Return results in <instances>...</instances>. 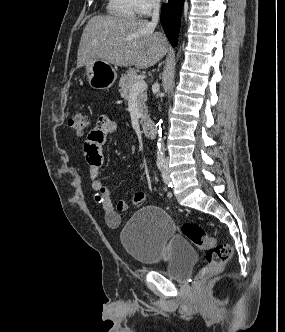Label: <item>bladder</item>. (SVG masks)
Listing matches in <instances>:
<instances>
[{
  "mask_svg": "<svg viewBox=\"0 0 285 332\" xmlns=\"http://www.w3.org/2000/svg\"><path fill=\"white\" fill-rule=\"evenodd\" d=\"M121 242L137 262L164 263L171 278H184L196 261V251L175 232L171 216L155 205L143 206L133 214L121 232Z\"/></svg>",
  "mask_w": 285,
  "mask_h": 332,
  "instance_id": "bladder-1",
  "label": "bladder"
}]
</instances>
